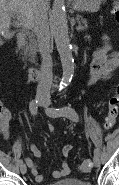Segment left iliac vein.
<instances>
[{
	"label": "left iliac vein",
	"mask_w": 119,
	"mask_h": 185,
	"mask_svg": "<svg viewBox=\"0 0 119 185\" xmlns=\"http://www.w3.org/2000/svg\"><path fill=\"white\" fill-rule=\"evenodd\" d=\"M43 106L45 107L46 114L48 116L52 117V115L49 112L48 103L44 104ZM93 163H94L95 167H99L100 166V157H99V155H94Z\"/></svg>",
	"instance_id": "1"
}]
</instances>
